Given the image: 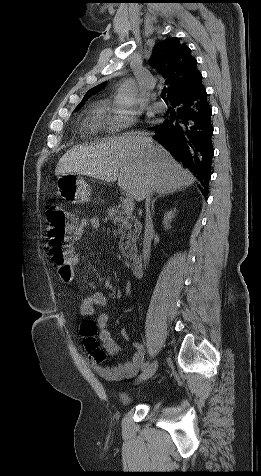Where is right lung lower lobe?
<instances>
[{"instance_id": "1", "label": "right lung lower lobe", "mask_w": 261, "mask_h": 476, "mask_svg": "<svg viewBox=\"0 0 261 476\" xmlns=\"http://www.w3.org/2000/svg\"><path fill=\"white\" fill-rule=\"evenodd\" d=\"M200 77L195 88L173 99L171 118L154 130L155 139L165 147L203 185L206 193L214 155L212 109Z\"/></svg>"}]
</instances>
